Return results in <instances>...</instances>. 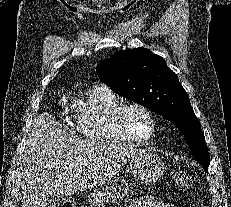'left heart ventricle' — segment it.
<instances>
[{
	"mask_svg": "<svg viewBox=\"0 0 231 207\" xmlns=\"http://www.w3.org/2000/svg\"><path fill=\"white\" fill-rule=\"evenodd\" d=\"M128 123L133 133L139 137H147L151 132L148 115L140 109H132L127 114Z\"/></svg>",
	"mask_w": 231,
	"mask_h": 207,
	"instance_id": "left-heart-ventricle-1",
	"label": "left heart ventricle"
}]
</instances>
